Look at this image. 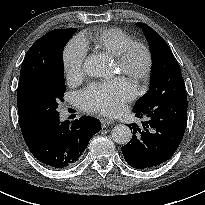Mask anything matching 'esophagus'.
<instances>
[{"label": "esophagus", "instance_id": "obj_1", "mask_svg": "<svg viewBox=\"0 0 205 205\" xmlns=\"http://www.w3.org/2000/svg\"><path fill=\"white\" fill-rule=\"evenodd\" d=\"M100 123L103 128H105L108 125L114 124V121L107 119V118H100Z\"/></svg>", "mask_w": 205, "mask_h": 205}]
</instances>
